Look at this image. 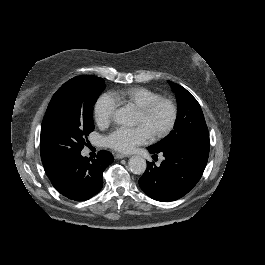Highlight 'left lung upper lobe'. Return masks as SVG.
Listing matches in <instances>:
<instances>
[{
	"label": "left lung upper lobe",
	"instance_id": "left-lung-upper-lobe-1",
	"mask_svg": "<svg viewBox=\"0 0 265 265\" xmlns=\"http://www.w3.org/2000/svg\"><path fill=\"white\" fill-rule=\"evenodd\" d=\"M168 82L177 97L178 113L174 130L148 149L160 152L191 141L209 143L208 128L197 100L182 86Z\"/></svg>",
	"mask_w": 265,
	"mask_h": 265
}]
</instances>
